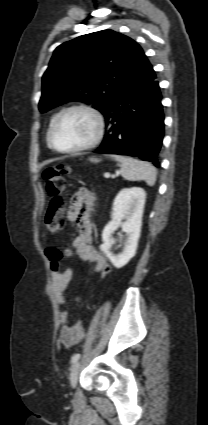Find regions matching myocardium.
I'll return each mask as SVG.
<instances>
[{"mask_svg": "<svg viewBox=\"0 0 208 425\" xmlns=\"http://www.w3.org/2000/svg\"><path fill=\"white\" fill-rule=\"evenodd\" d=\"M74 111L87 113L94 119L96 124L95 134L88 143L82 146L70 148V149L58 148L53 141L55 128L65 115ZM104 134H105V120L101 112L98 111L96 108L87 104H75V105H71L64 108L55 116L49 128L48 144L52 149H54L57 152L64 153V154H76V153H81L96 147L102 141Z\"/></svg>", "mask_w": 208, "mask_h": 425, "instance_id": "obj_1", "label": "myocardium"}]
</instances>
